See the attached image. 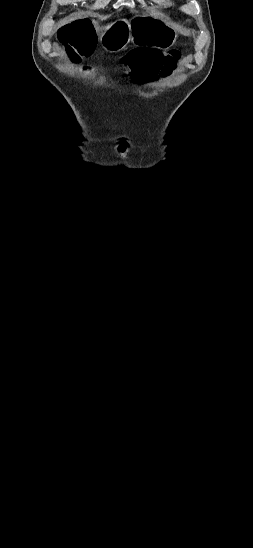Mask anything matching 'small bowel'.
<instances>
[{
	"instance_id": "1",
	"label": "small bowel",
	"mask_w": 253,
	"mask_h": 548,
	"mask_svg": "<svg viewBox=\"0 0 253 548\" xmlns=\"http://www.w3.org/2000/svg\"><path fill=\"white\" fill-rule=\"evenodd\" d=\"M170 71H171V70H170ZM169 73H170V72H169ZM161 75H167V74H161ZM137 79H138L139 81H145V80H147V79H141L140 74L137 76Z\"/></svg>"
}]
</instances>
